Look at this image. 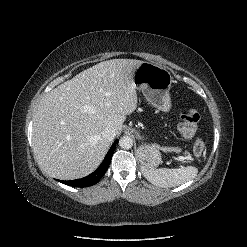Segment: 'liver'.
<instances>
[{
  "instance_id": "6515ba94",
  "label": "liver",
  "mask_w": 247,
  "mask_h": 247,
  "mask_svg": "<svg viewBox=\"0 0 247 247\" xmlns=\"http://www.w3.org/2000/svg\"><path fill=\"white\" fill-rule=\"evenodd\" d=\"M135 59H112L82 71L50 92L33 119L32 141L39 166L62 180L82 178L102 162L111 127L121 133L126 116L137 108Z\"/></svg>"
}]
</instances>
